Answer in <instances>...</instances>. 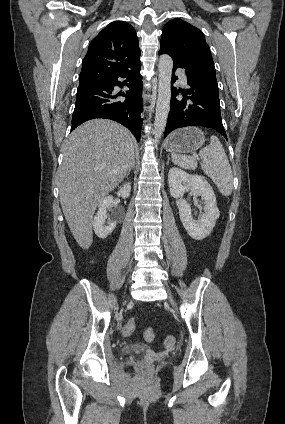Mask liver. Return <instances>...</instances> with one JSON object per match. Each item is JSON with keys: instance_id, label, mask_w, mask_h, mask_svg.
<instances>
[{"instance_id": "liver-1", "label": "liver", "mask_w": 285, "mask_h": 424, "mask_svg": "<svg viewBox=\"0 0 285 424\" xmlns=\"http://www.w3.org/2000/svg\"><path fill=\"white\" fill-rule=\"evenodd\" d=\"M135 138L117 122L89 120L62 145L59 196L70 231L83 249L93 241L92 219L99 202L124 179L134 159Z\"/></svg>"}]
</instances>
